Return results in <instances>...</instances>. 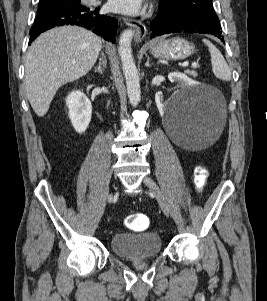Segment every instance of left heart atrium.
Returning a JSON list of instances; mask_svg holds the SVG:
<instances>
[{
	"label": "left heart atrium",
	"instance_id": "39dd6f15",
	"mask_svg": "<svg viewBox=\"0 0 267 301\" xmlns=\"http://www.w3.org/2000/svg\"><path fill=\"white\" fill-rule=\"evenodd\" d=\"M142 0H110L109 6L112 10L126 13L136 14L140 11Z\"/></svg>",
	"mask_w": 267,
	"mask_h": 301
}]
</instances>
